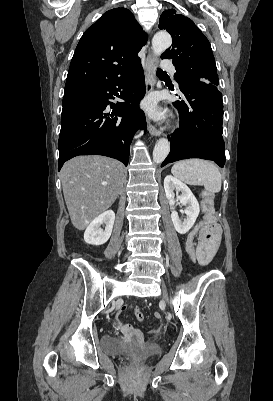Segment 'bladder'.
Wrapping results in <instances>:
<instances>
[{
  "instance_id": "31cf9c89",
  "label": "bladder",
  "mask_w": 273,
  "mask_h": 401,
  "mask_svg": "<svg viewBox=\"0 0 273 401\" xmlns=\"http://www.w3.org/2000/svg\"><path fill=\"white\" fill-rule=\"evenodd\" d=\"M101 345L103 351L107 354L118 356L132 362H142L161 353V349L157 346L133 350L123 341L110 335L102 338Z\"/></svg>"
}]
</instances>
